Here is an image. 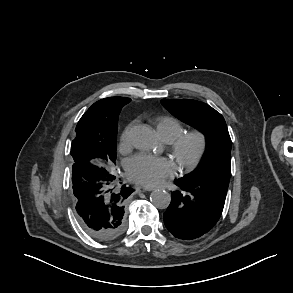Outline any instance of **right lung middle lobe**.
<instances>
[{"mask_svg": "<svg viewBox=\"0 0 293 293\" xmlns=\"http://www.w3.org/2000/svg\"><path fill=\"white\" fill-rule=\"evenodd\" d=\"M75 131L76 138L72 141L71 146L72 157H75L78 153L90 154L95 157V165L100 167L103 173H110L116 160V129L111 136L104 139L79 132L77 127Z\"/></svg>", "mask_w": 293, "mask_h": 293, "instance_id": "dd1d6c3e", "label": "right lung middle lobe"}]
</instances>
